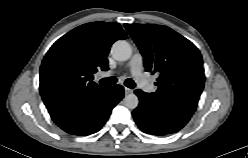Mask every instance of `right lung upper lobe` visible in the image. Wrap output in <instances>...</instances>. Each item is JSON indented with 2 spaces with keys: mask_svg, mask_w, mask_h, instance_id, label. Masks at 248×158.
<instances>
[{
  "mask_svg": "<svg viewBox=\"0 0 248 158\" xmlns=\"http://www.w3.org/2000/svg\"><path fill=\"white\" fill-rule=\"evenodd\" d=\"M126 32L114 22L81 25L58 39L40 67V94L48 112L79 103L104 88L92 81L97 69L108 70L111 45Z\"/></svg>",
  "mask_w": 248,
  "mask_h": 158,
  "instance_id": "obj_1",
  "label": "right lung upper lobe"
}]
</instances>
